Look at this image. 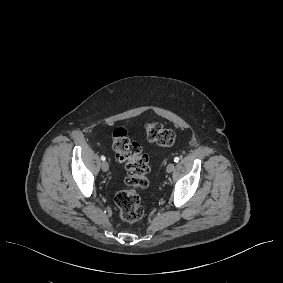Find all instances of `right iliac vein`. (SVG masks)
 Wrapping results in <instances>:
<instances>
[{
  "instance_id": "obj_1",
  "label": "right iliac vein",
  "mask_w": 283,
  "mask_h": 283,
  "mask_svg": "<svg viewBox=\"0 0 283 283\" xmlns=\"http://www.w3.org/2000/svg\"><path fill=\"white\" fill-rule=\"evenodd\" d=\"M101 168L104 172H107L109 170V165L106 161H104L102 164H101Z\"/></svg>"
}]
</instances>
